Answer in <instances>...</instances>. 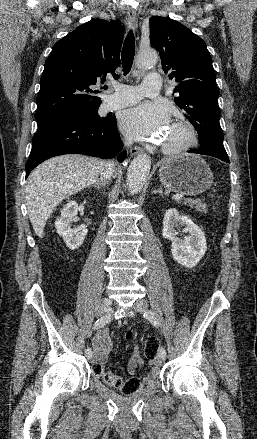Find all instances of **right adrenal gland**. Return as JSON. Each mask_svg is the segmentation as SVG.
Masks as SVG:
<instances>
[{
  "label": "right adrenal gland",
  "instance_id": "1",
  "mask_svg": "<svg viewBox=\"0 0 257 439\" xmlns=\"http://www.w3.org/2000/svg\"><path fill=\"white\" fill-rule=\"evenodd\" d=\"M92 186L100 190L102 187H105L106 184L104 182L96 181L94 184H92Z\"/></svg>",
  "mask_w": 257,
  "mask_h": 439
}]
</instances>
